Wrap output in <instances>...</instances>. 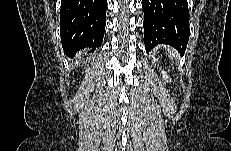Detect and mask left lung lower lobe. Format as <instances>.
<instances>
[{
	"mask_svg": "<svg viewBox=\"0 0 231 151\" xmlns=\"http://www.w3.org/2000/svg\"><path fill=\"white\" fill-rule=\"evenodd\" d=\"M146 50L167 44L184 53L189 39L187 0H142Z\"/></svg>",
	"mask_w": 231,
	"mask_h": 151,
	"instance_id": "0a47b994",
	"label": "left lung lower lobe"
}]
</instances>
